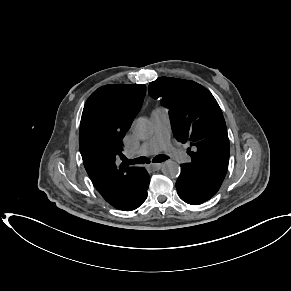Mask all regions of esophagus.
<instances>
[{"label":"esophagus","instance_id":"34e87169","mask_svg":"<svg viewBox=\"0 0 291 291\" xmlns=\"http://www.w3.org/2000/svg\"><path fill=\"white\" fill-rule=\"evenodd\" d=\"M163 166L162 163H152L150 164L148 167L153 170V171H157L159 170L161 167Z\"/></svg>","mask_w":291,"mask_h":291}]
</instances>
